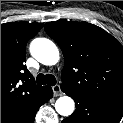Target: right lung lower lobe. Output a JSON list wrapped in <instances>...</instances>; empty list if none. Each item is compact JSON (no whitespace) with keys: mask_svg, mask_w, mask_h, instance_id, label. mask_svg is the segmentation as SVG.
<instances>
[{"mask_svg":"<svg viewBox=\"0 0 123 123\" xmlns=\"http://www.w3.org/2000/svg\"><path fill=\"white\" fill-rule=\"evenodd\" d=\"M53 97V91L51 87L46 86L44 92L41 97L33 104L31 107L26 109L25 111L19 113L17 116L8 119L4 123H34L35 114L38 108L49 101Z\"/></svg>","mask_w":123,"mask_h":123,"instance_id":"98d812e1","label":"right lung lower lobe"}]
</instances>
